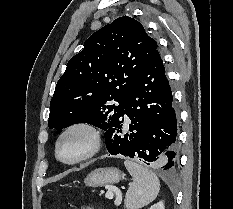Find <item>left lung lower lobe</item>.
I'll use <instances>...</instances> for the list:
<instances>
[{"mask_svg": "<svg viewBox=\"0 0 233 209\" xmlns=\"http://www.w3.org/2000/svg\"><path fill=\"white\" fill-rule=\"evenodd\" d=\"M124 115L131 121L127 131ZM176 136L173 96L157 51L132 84L121 116L106 130V147L110 155L128 156L171 170L178 159Z\"/></svg>", "mask_w": 233, "mask_h": 209, "instance_id": "obj_1", "label": "left lung lower lobe"}]
</instances>
